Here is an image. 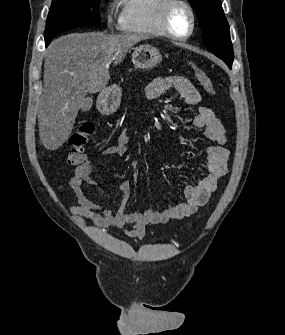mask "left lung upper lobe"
I'll return each instance as SVG.
<instances>
[{
  "label": "left lung upper lobe",
  "mask_w": 285,
  "mask_h": 335,
  "mask_svg": "<svg viewBox=\"0 0 285 335\" xmlns=\"http://www.w3.org/2000/svg\"><path fill=\"white\" fill-rule=\"evenodd\" d=\"M188 1L196 12L198 22L202 27L204 43L231 68L233 47L229 24L225 19L221 0Z\"/></svg>",
  "instance_id": "5c2ea615"
}]
</instances>
